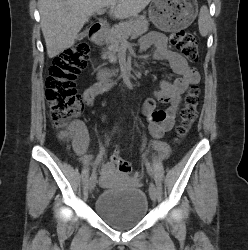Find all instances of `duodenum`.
<instances>
[{
  "instance_id": "duodenum-1",
  "label": "duodenum",
  "mask_w": 248,
  "mask_h": 250,
  "mask_svg": "<svg viewBox=\"0 0 248 250\" xmlns=\"http://www.w3.org/2000/svg\"><path fill=\"white\" fill-rule=\"evenodd\" d=\"M104 29V24L97 22V23H93L90 27H89V38L92 42L97 43V44H101L102 40H101V32ZM99 79H106L107 75L106 73L104 74H100L98 75Z\"/></svg>"
}]
</instances>
